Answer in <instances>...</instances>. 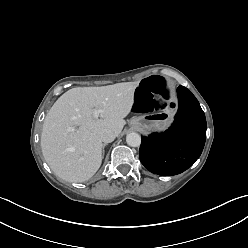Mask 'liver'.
<instances>
[{
    "label": "liver",
    "mask_w": 248,
    "mask_h": 248,
    "mask_svg": "<svg viewBox=\"0 0 248 248\" xmlns=\"http://www.w3.org/2000/svg\"><path fill=\"white\" fill-rule=\"evenodd\" d=\"M139 82L101 87H76L65 92L49 110L42 128L41 149L51 170L68 182L89 180L102 163L101 130L118 136L134 103ZM101 110L99 119L94 111ZM74 128V131H69Z\"/></svg>",
    "instance_id": "liver-1"
}]
</instances>
